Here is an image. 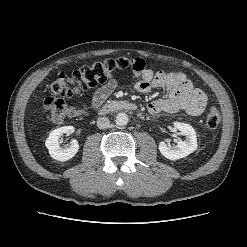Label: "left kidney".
Here are the masks:
<instances>
[{
  "mask_svg": "<svg viewBox=\"0 0 247 247\" xmlns=\"http://www.w3.org/2000/svg\"><path fill=\"white\" fill-rule=\"evenodd\" d=\"M174 128L186 136L184 141L177 142V145L171 147L164 141L159 143L160 153L170 160H178L188 156L197 149V137L194 128L183 122H174Z\"/></svg>",
  "mask_w": 247,
  "mask_h": 247,
  "instance_id": "obj_1",
  "label": "left kidney"
}]
</instances>
